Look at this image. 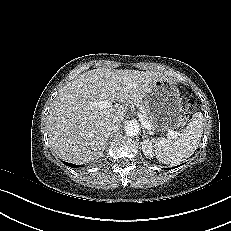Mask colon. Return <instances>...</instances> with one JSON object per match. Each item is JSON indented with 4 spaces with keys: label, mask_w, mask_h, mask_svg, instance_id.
Instances as JSON below:
<instances>
[{
    "label": "colon",
    "mask_w": 231,
    "mask_h": 231,
    "mask_svg": "<svg viewBox=\"0 0 231 231\" xmlns=\"http://www.w3.org/2000/svg\"><path fill=\"white\" fill-rule=\"evenodd\" d=\"M186 109L191 112L194 110V104L191 100L187 99L186 100Z\"/></svg>",
    "instance_id": "5ec220e1"
}]
</instances>
